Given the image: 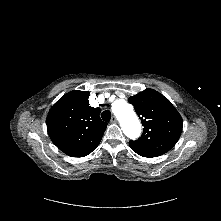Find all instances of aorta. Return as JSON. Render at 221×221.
Listing matches in <instances>:
<instances>
[{"label": "aorta", "instance_id": "1", "mask_svg": "<svg viewBox=\"0 0 221 221\" xmlns=\"http://www.w3.org/2000/svg\"><path fill=\"white\" fill-rule=\"evenodd\" d=\"M112 111L120 122L124 134L130 139H136L141 133V124L132 105L123 99L112 103Z\"/></svg>", "mask_w": 221, "mask_h": 221}]
</instances>
